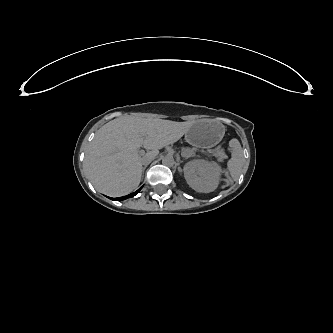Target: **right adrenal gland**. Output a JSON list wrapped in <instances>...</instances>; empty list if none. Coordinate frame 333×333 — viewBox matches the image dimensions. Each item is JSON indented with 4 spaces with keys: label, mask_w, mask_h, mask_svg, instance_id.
Returning a JSON list of instances; mask_svg holds the SVG:
<instances>
[{
    "label": "right adrenal gland",
    "mask_w": 333,
    "mask_h": 333,
    "mask_svg": "<svg viewBox=\"0 0 333 333\" xmlns=\"http://www.w3.org/2000/svg\"><path fill=\"white\" fill-rule=\"evenodd\" d=\"M146 168H147V165H145L142 169L143 174H144V171H145Z\"/></svg>",
    "instance_id": "obj_1"
}]
</instances>
